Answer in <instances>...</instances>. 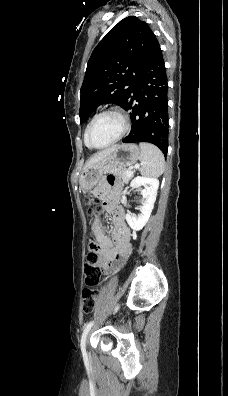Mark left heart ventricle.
I'll use <instances>...</instances> for the list:
<instances>
[{
	"mask_svg": "<svg viewBox=\"0 0 228 396\" xmlns=\"http://www.w3.org/2000/svg\"><path fill=\"white\" fill-rule=\"evenodd\" d=\"M122 129V122L113 114L104 115L97 120L92 132L91 143L95 146H103L114 140Z\"/></svg>",
	"mask_w": 228,
	"mask_h": 396,
	"instance_id": "obj_1",
	"label": "left heart ventricle"
}]
</instances>
